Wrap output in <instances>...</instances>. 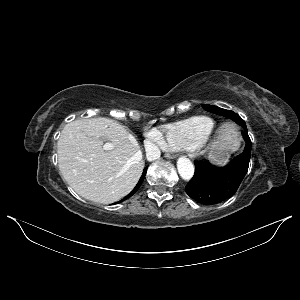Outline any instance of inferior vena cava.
Masks as SVG:
<instances>
[{"instance_id":"inferior-vena-cava-1","label":"inferior vena cava","mask_w":300,"mask_h":300,"mask_svg":"<svg viewBox=\"0 0 300 300\" xmlns=\"http://www.w3.org/2000/svg\"><path fill=\"white\" fill-rule=\"evenodd\" d=\"M145 148L148 160L152 161L160 157V149L155 144L148 143Z\"/></svg>"}]
</instances>
